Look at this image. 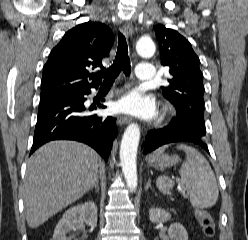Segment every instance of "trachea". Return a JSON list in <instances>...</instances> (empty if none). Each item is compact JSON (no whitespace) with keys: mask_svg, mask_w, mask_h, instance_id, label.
<instances>
[{"mask_svg":"<svg viewBox=\"0 0 248 240\" xmlns=\"http://www.w3.org/2000/svg\"><path fill=\"white\" fill-rule=\"evenodd\" d=\"M123 71L126 76L130 75L131 66L128 56V45L125 36L119 33L118 48L113 64L106 70L98 74L99 77L104 78L103 84H112L119 73Z\"/></svg>","mask_w":248,"mask_h":240,"instance_id":"3493384b","label":"trachea"}]
</instances>
